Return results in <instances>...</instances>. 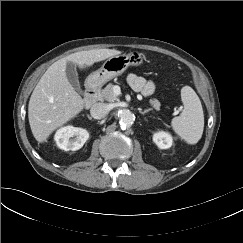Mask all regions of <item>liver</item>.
<instances>
[{"label":"liver","mask_w":243,"mask_h":243,"mask_svg":"<svg viewBox=\"0 0 243 243\" xmlns=\"http://www.w3.org/2000/svg\"><path fill=\"white\" fill-rule=\"evenodd\" d=\"M120 54L121 51L115 49L80 51L54 62L47 69L34 88L28 104L30 128L38 142L46 141L54 130L74 118L85 106V101L67 79V62L84 69Z\"/></svg>","instance_id":"1"}]
</instances>
